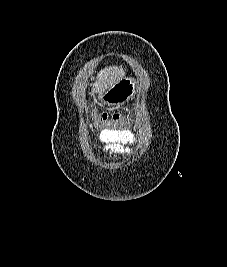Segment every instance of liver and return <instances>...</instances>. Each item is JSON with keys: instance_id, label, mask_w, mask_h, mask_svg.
<instances>
[{"instance_id": "1", "label": "liver", "mask_w": 227, "mask_h": 267, "mask_svg": "<svg viewBox=\"0 0 227 267\" xmlns=\"http://www.w3.org/2000/svg\"><path fill=\"white\" fill-rule=\"evenodd\" d=\"M125 76L122 67L112 66L101 70L97 75V80L93 84L95 91H105L108 87L113 86Z\"/></svg>"}]
</instances>
